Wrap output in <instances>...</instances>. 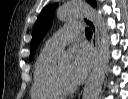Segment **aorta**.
Listing matches in <instances>:
<instances>
[{
	"instance_id": "762f6f07",
	"label": "aorta",
	"mask_w": 128,
	"mask_h": 99,
	"mask_svg": "<svg viewBox=\"0 0 128 99\" xmlns=\"http://www.w3.org/2000/svg\"><path fill=\"white\" fill-rule=\"evenodd\" d=\"M85 14H89L94 18L98 26L100 37L98 54L87 84L84 88L82 99H99L110 58V41L104 18L101 14H98L95 9L81 0L68 1L57 11V17L62 21L76 19ZM71 59L72 53L70 51H63L58 57L59 62H69Z\"/></svg>"
}]
</instances>
